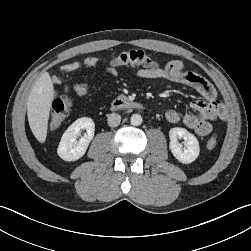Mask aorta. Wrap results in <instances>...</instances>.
<instances>
[{"mask_svg": "<svg viewBox=\"0 0 251 251\" xmlns=\"http://www.w3.org/2000/svg\"><path fill=\"white\" fill-rule=\"evenodd\" d=\"M130 122L134 126H139L142 123V117L139 114H133L131 116Z\"/></svg>", "mask_w": 251, "mask_h": 251, "instance_id": "762f6f07", "label": "aorta"}]
</instances>
